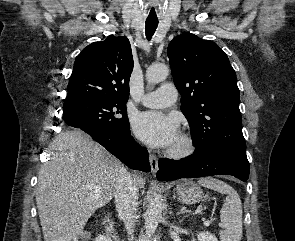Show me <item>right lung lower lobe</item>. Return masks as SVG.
<instances>
[{
    "label": "right lung lower lobe",
    "instance_id": "obj_1",
    "mask_svg": "<svg viewBox=\"0 0 295 241\" xmlns=\"http://www.w3.org/2000/svg\"><path fill=\"white\" fill-rule=\"evenodd\" d=\"M80 129L131 169L150 171L148 151L135 142L130 129L125 133H115L95 126L80 127Z\"/></svg>",
    "mask_w": 295,
    "mask_h": 241
}]
</instances>
